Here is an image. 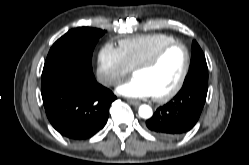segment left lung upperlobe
<instances>
[{
  "mask_svg": "<svg viewBox=\"0 0 249 165\" xmlns=\"http://www.w3.org/2000/svg\"><path fill=\"white\" fill-rule=\"evenodd\" d=\"M193 53L189 72L185 78L184 83L194 79L208 80V68L205 56L200 46L196 41H193Z\"/></svg>",
  "mask_w": 249,
  "mask_h": 165,
  "instance_id": "1",
  "label": "left lung upper lobe"
}]
</instances>
